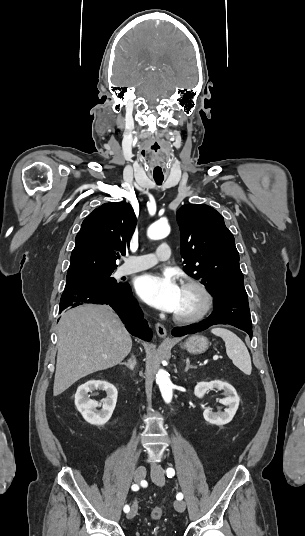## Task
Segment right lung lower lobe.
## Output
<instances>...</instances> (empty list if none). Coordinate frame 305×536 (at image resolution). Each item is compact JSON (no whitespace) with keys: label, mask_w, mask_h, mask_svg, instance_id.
<instances>
[{"label":"right lung lower lobe","mask_w":305,"mask_h":536,"mask_svg":"<svg viewBox=\"0 0 305 536\" xmlns=\"http://www.w3.org/2000/svg\"><path fill=\"white\" fill-rule=\"evenodd\" d=\"M84 303L109 304L127 324L126 328L132 335L146 341L151 340L152 331L143 320V313L127 283L113 290L67 288L61 296L59 312Z\"/></svg>","instance_id":"98d812e1"}]
</instances>
